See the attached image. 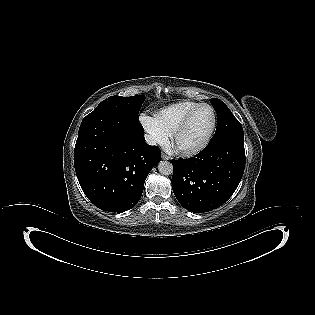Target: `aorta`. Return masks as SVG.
<instances>
[{
	"mask_svg": "<svg viewBox=\"0 0 315 315\" xmlns=\"http://www.w3.org/2000/svg\"><path fill=\"white\" fill-rule=\"evenodd\" d=\"M158 170L163 175H170L173 172V166L168 161H161L158 164Z\"/></svg>",
	"mask_w": 315,
	"mask_h": 315,
	"instance_id": "1",
	"label": "aorta"
}]
</instances>
